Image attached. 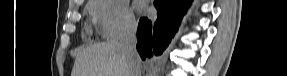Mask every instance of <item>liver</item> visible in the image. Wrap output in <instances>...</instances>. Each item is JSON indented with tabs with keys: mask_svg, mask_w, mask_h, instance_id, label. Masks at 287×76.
Listing matches in <instances>:
<instances>
[{
	"mask_svg": "<svg viewBox=\"0 0 287 76\" xmlns=\"http://www.w3.org/2000/svg\"><path fill=\"white\" fill-rule=\"evenodd\" d=\"M71 76H129V64L118 41L95 43L77 53Z\"/></svg>",
	"mask_w": 287,
	"mask_h": 76,
	"instance_id": "6515ba94",
	"label": "liver"
}]
</instances>
